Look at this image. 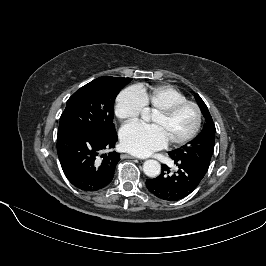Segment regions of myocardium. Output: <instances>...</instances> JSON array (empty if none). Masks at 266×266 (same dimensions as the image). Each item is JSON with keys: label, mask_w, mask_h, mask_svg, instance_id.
I'll return each mask as SVG.
<instances>
[{"label": "myocardium", "mask_w": 266, "mask_h": 266, "mask_svg": "<svg viewBox=\"0 0 266 266\" xmlns=\"http://www.w3.org/2000/svg\"><path fill=\"white\" fill-rule=\"evenodd\" d=\"M185 107H192L194 109L195 115H196L195 125L192 128V130L183 138L170 141V144L172 146L184 145L196 137V135L198 134V132L201 128V124H202L201 109H200L199 105L193 101H183V102L175 103V104H172L168 107H165V108H162V109L155 111V113L158 115H161L163 117H170Z\"/></svg>", "instance_id": "1"}]
</instances>
